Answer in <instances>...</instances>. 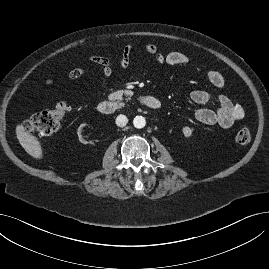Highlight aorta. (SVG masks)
Here are the masks:
<instances>
[{
	"label": "aorta",
	"mask_w": 269,
	"mask_h": 269,
	"mask_svg": "<svg viewBox=\"0 0 269 269\" xmlns=\"http://www.w3.org/2000/svg\"><path fill=\"white\" fill-rule=\"evenodd\" d=\"M133 125L137 129H141L146 125V120L143 116H136L133 120Z\"/></svg>",
	"instance_id": "1"
}]
</instances>
